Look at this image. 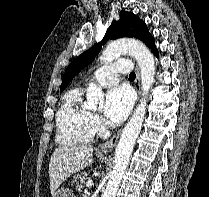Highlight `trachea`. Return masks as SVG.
<instances>
[{"label":"trachea","mask_w":209,"mask_h":197,"mask_svg":"<svg viewBox=\"0 0 209 197\" xmlns=\"http://www.w3.org/2000/svg\"><path fill=\"white\" fill-rule=\"evenodd\" d=\"M135 77H136V75H135V73H134V72H131V73L129 74V78H131V79H135Z\"/></svg>","instance_id":"trachea-1"}]
</instances>
